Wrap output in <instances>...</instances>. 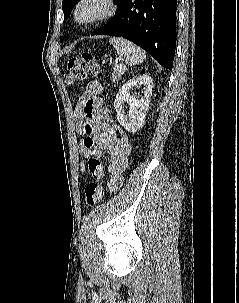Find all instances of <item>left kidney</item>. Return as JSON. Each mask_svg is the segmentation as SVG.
Instances as JSON below:
<instances>
[{"instance_id": "left-kidney-1", "label": "left kidney", "mask_w": 239, "mask_h": 303, "mask_svg": "<svg viewBox=\"0 0 239 303\" xmlns=\"http://www.w3.org/2000/svg\"><path fill=\"white\" fill-rule=\"evenodd\" d=\"M152 85L153 80L150 76L141 75L130 79L121 87L116 95L114 107L117 112V120L128 132H137L144 124L146 112L149 108L152 96ZM140 86H143L144 89V95L141 99L130 94V90L133 87ZM125 102L130 106L127 115L123 109V104Z\"/></svg>"}]
</instances>
